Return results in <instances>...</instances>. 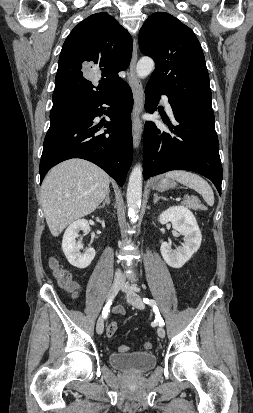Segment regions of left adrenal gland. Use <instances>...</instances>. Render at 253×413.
Instances as JSON below:
<instances>
[{"label": "left adrenal gland", "instance_id": "obj_1", "mask_svg": "<svg viewBox=\"0 0 253 413\" xmlns=\"http://www.w3.org/2000/svg\"><path fill=\"white\" fill-rule=\"evenodd\" d=\"M160 199L167 200L165 197H163V196H158V194L155 193V194H154L153 203H154V204L157 203V201L160 200Z\"/></svg>", "mask_w": 253, "mask_h": 413}]
</instances>
